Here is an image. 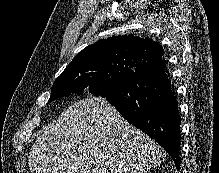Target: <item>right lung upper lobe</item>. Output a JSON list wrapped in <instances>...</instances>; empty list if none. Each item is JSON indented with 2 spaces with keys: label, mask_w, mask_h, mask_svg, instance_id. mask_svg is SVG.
Returning a JSON list of instances; mask_svg holds the SVG:
<instances>
[{
  "label": "right lung upper lobe",
  "mask_w": 219,
  "mask_h": 173,
  "mask_svg": "<svg viewBox=\"0 0 219 173\" xmlns=\"http://www.w3.org/2000/svg\"><path fill=\"white\" fill-rule=\"evenodd\" d=\"M162 54V46L149 38L143 39L132 34L112 36L98 40L83 49L62 74L72 71L82 72L115 62H125L136 68L148 60L162 61Z\"/></svg>",
  "instance_id": "1"
}]
</instances>
